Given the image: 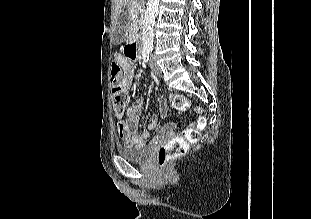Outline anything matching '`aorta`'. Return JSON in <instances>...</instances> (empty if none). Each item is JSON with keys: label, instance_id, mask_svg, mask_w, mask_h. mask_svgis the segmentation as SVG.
Returning <instances> with one entry per match:
<instances>
[{"label": "aorta", "instance_id": "obj_1", "mask_svg": "<svg viewBox=\"0 0 311 219\" xmlns=\"http://www.w3.org/2000/svg\"><path fill=\"white\" fill-rule=\"evenodd\" d=\"M159 0H148L143 21L142 45L143 49L153 48L155 18L158 13Z\"/></svg>", "mask_w": 311, "mask_h": 219}]
</instances>
